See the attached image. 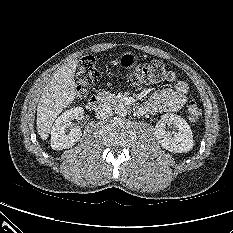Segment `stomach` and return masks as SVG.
Returning <instances> with one entry per match:
<instances>
[{
	"mask_svg": "<svg viewBox=\"0 0 233 233\" xmlns=\"http://www.w3.org/2000/svg\"><path fill=\"white\" fill-rule=\"evenodd\" d=\"M137 62V56L132 52H124L118 58V63L124 67H132Z\"/></svg>",
	"mask_w": 233,
	"mask_h": 233,
	"instance_id": "stomach-1",
	"label": "stomach"
}]
</instances>
